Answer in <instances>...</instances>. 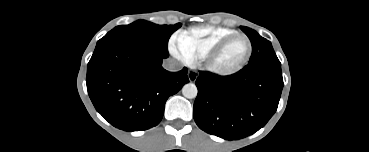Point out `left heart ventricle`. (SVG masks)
<instances>
[{
  "mask_svg": "<svg viewBox=\"0 0 369 152\" xmlns=\"http://www.w3.org/2000/svg\"><path fill=\"white\" fill-rule=\"evenodd\" d=\"M248 45L246 40L237 38L230 42L217 57L215 64L221 69H230L238 65L246 56Z\"/></svg>",
  "mask_w": 369,
  "mask_h": 152,
  "instance_id": "obj_1",
  "label": "left heart ventricle"
}]
</instances>
